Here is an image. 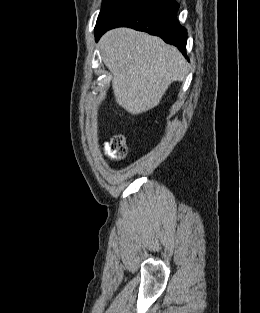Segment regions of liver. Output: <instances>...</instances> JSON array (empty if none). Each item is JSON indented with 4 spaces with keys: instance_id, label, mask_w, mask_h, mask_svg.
<instances>
[{
    "instance_id": "6515ba94",
    "label": "liver",
    "mask_w": 260,
    "mask_h": 313,
    "mask_svg": "<svg viewBox=\"0 0 260 313\" xmlns=\"http://www.w3.org/2000/svg\"><path fill=\"white\" fill-rule=\"evenodd\" d=\"M99 50L112 73L116 102L132 115L155 107L168 87L188 74L180 51L162 39L130 28L105 33Z\"/></svg>"
}]
</instances>
